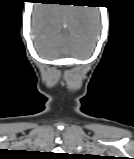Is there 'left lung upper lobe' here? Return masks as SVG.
I'll return each instance as SVG.
<instances>
[{"instance_id": "1", "label": "left lung upper lobe", "mask_w": 134, "mask_h": 159, "mask_svg": "<svg viewBox=\"0 0 134 159\" xmlns=\"http://www.w3.org/2000/svg\"><path fill=\"white\" fill-rule=\"evenodd\" d=\"M81 159H101L99 156L95 155H82L80 156Z\"/></svg>"}]
</instances>
